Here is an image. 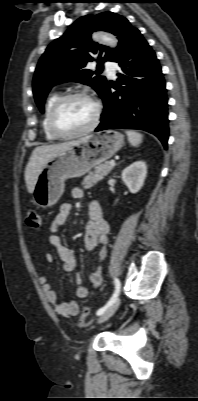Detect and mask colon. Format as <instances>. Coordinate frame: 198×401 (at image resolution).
<instances>
[{"instance_id":"5ec220e1","label":"colon","mask_w":198,"mask_h":401,"mask_svg":"<svg viewBox=\"0 0 198 401\" xmlns=\"http://www.w3.org/2000/svg\"><path fill=\"white\" fill-rule=\"evenodd\" d=\"M25 221L28 227L39 228L41 226V215L34 209H28L26 212ZM89 313V308L85 307L80 318L81 323H87L90 321Z\"/></svg>"}]
</instances>
